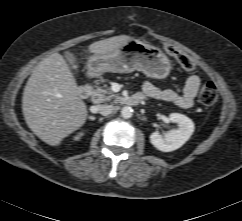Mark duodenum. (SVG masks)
<instances>
[{
  "label": "duodenum",
  "instance_id": "410a0bca",
  "mask_svg": "<svg viewBox=\"0 0 242 221\" xmlns=\"http://www.w3.org/2000/svg\"><path fill=\"white\" fill-rule=\"evenodd\" d=\"M90 95V88L87 86H81L78 89V96L81 99H87ZM142 98L140 96H128L123 99V103L128 106H136L140 104Z\"/></svg>",
  "mask_w": 242,
  "mask_h": 221
}]
</instances>
